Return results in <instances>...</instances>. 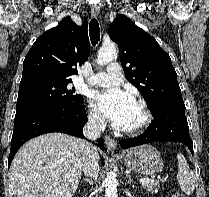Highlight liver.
I'll return each instance as SVG.
<instances>
[{
  "mask_svg": "<svg viewBox=\"0 0 209 197\" xmlns=\"http://www.w3.org/2000/svg\"><path fill=\"white\" fill-rule=\"evenodd\" d=\"M84 160L82 140L73 136L47 133L29 140L11 165L17 197H72Z\"/></svg>",
  "mask_w": 209,
  "mask_h": 197,
  "instance_id": "obj_1",
  "label": "liver"
}]
</instances>
